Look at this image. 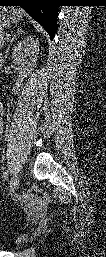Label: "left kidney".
Wrapping results in <instances>:
<instances>
[{
  "instance_id": "obj_1",
  "label": "left kidney",
  "mask_w": 106,
  "mask_h": 257,
  "mask_svg": "<svg viewBox=\"0 0 106 257\" xmlns=\"http://www.w3.org/2000/svg\"><path fill=\"white\" fill-rule=\"evenodd\" d=\"M38 52L39 41L32 37H27L17 44L12 53V59L21 73H29L37 61Z\"/></svg>"
}]
</instances>
